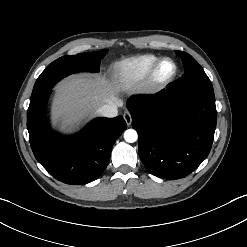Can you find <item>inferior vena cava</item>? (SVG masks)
<instances>
[{
    "label": "inferior vena cava",
    "instance_id": "inferior-vena-cava-1",
    "mask_svg": "<svg viewBox=\"0 0 247 247\" xmlns=\"http://www.w3.org/2000/svg\"><path fill=\"white\" fill-rule=\"evenodd\" d=\"M121 105L122 101L119 99L109 101L98 109V113L108 118L116 117L118 115V107Z\"/></svg>",
    "mask_w": 247,
    "mask_h": 247
}]
</instances>
